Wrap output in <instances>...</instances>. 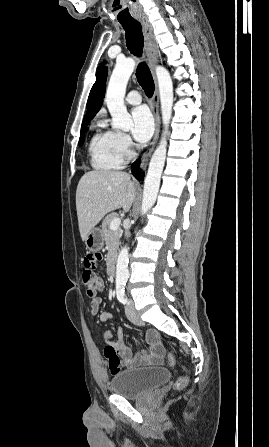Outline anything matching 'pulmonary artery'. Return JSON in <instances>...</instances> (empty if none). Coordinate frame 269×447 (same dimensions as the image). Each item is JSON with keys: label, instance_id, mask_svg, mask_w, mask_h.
Returning a JSON list of instances; mask_svg holds the SVG:
<instances>
[{"label": "pulmonary artery", "instance_id": "obj_1", "mask_svg": "<svg viewBox=\"0 0 269 447\" xmlns=\"http://www.w3.org/2000/svg\"><path fill=\"white\" fill-rule=\"evenodd\" d=\"M126 102L130 105H138L142 102V96L140 92L136 90L130 91L126 96Z\"/></svg>", "mask_w": 269, "mask_h": 447}]
</instances>
